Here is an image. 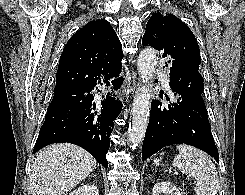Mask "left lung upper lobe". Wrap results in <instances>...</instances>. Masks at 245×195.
I'll return each mask as SVG.
<instances>
[{
    "instance_id": "obj_1",
    "label": "left lung upper lobe",
    "mask_w": 245,
    "mask_h": 195,
    "mask_svg": "<svg viewBox=\"0 0 245 195\" xmlns=\"http://www.w3.org/2000/svg\"><path fill=\"white\" fill-rule=\"evenodd\" d=\"M144 46H152L169 58L170 85L203 92L204 80L198 72L201 56L194 34L173 14L156 12L146 25Z\"/></svg>"
}]
</instances>
